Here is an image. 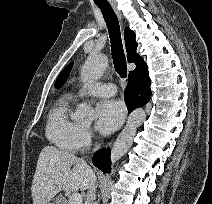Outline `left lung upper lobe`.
Wrapping results in <instances>:
<instances>
[{
    "mask_svg": "<svg viewBox=\"0 0 212 204\" xmlns=\"http://www.w3.org/2000/svg\"><path fill=\"white\" fill-rule=\"evenodd\" d=\"M73 63H70L58 76L56 82H55V87L56 88H60L65 81L67 80V78L69 77L71 68H72Z\"/></svg>",
    "mask_w": 212,
    "mask_h": 204,
    "instance_id": "obj_1",
    "label": "left lung upper lobe"
}]
</instances>
